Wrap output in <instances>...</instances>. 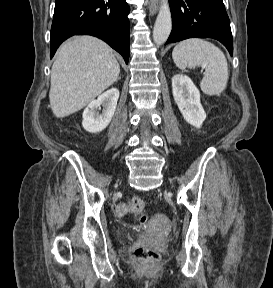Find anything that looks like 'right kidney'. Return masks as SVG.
<instances>
[{"instance_id": "ca27d5eb", "label": "right kidney", "mask_w": 273, "mask_h": 288, "mask_svg": "<svg viewBox=\"0 0 273 288\" xmlns=\"http://www.w3.org/2000/svg\"><path fill=\"white\" fill-rule=\"evenodd\" d=\"M119 98V90L111 88L89 103L83 112V128L90 133L104 130L111 122ZM103 107L102 113H99Z\"/></svg>"}]
</instances>
